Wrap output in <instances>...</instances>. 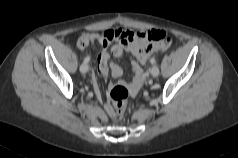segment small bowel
Here are the masks:
<instances>
[{"mask_svg":"<svg viewBox=\"0 0 238 158\" xmlns=\"http://www.w3.org/2000/svg\"><path fill=\"white\" fill-rule=\"evenodd\" d=\"M165 35L161 30L138 31L115 28L99 33H84L81 35L76 43L80 50L86 49L89 45L98 43L101 51L97 57V71L106 78L110 73L114 77L122 74V69L116 63L110 61L109 46L112 42L115 44L111 48V54L114 57H120L124 51L130 52L136 60L131 62L133 81L131 83V91L135 92L143 79V71L141 64H145L149 57L157 51L156 40L152 39L153 34ZM92 83L98 98L102 97L101 89L95 75L92 76ZM109 104L106 105L108 111Z\"/></svg>","mask_w":238,"mask_h":158,"instance_id":"1","label":"small bowel"}]
</instances>
